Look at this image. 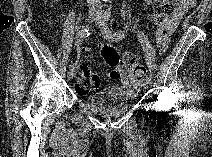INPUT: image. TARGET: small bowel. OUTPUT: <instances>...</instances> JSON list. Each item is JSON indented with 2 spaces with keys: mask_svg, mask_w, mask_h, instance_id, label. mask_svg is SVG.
Returning <instances> with one entry per match:
<instances>
[{
  "mask_svg": "<svg viewBox=\"0 0 212 157\" xmlns=\"http://www.w3.org/2000/svg\"><path fill=\"white\" fill-rule=\"evenodd\" d=\"M194 0H182L177 3L173 13L165 20L164 26L161 29H158L157 38L161 45L162 51H165L167 42L176 28L177 24L179 23L180 19L186 13V11L194 6ZM77 51L81 54L90 53L92 52V47L83 43L82 41L78 40L76 42ZM82 68L87 69L86 65H82ZM140 80H134L129 83H124L126 87H139Z\"/></svg>",
  "mask_w": 212,
  "mask_h": 157,
  "instance_id": "1",
  "label": "small bowel"
}]
</instances>
